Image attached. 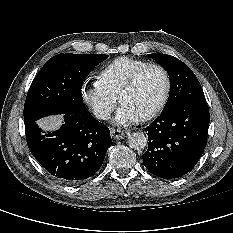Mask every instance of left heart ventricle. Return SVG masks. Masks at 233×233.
Returning <instances> with one entry per match:
<instances>
[{
	"instance_id": "1",
	"label": "left heart ventricle",
	"mask_w": 233,
	"mask_h": 233,
	"mask_svg": "<svg viewBox=\"0 0 233 233\" xmlns=\"http://www.w3.org/2000/svg\"><path fill=\"white\" fill-rule=\"evenodd\" d=\"M165 86L163 73L158 69H149L140 77L135 87L123 96L121 103L142 117L159 103Z\"/></svg>"
}]
</instances>
